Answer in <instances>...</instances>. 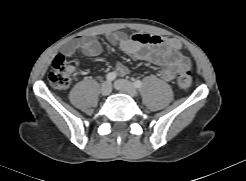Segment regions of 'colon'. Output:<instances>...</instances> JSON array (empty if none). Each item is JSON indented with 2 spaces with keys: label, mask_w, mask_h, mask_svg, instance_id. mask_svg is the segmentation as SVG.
Listing matches in <instances>:
<instances>
[{
  "label": "colon",
  "mask_w": 246,
  "mask_h": 181,
  "mask_svg": "<svg viewBox=\"0 0 246 181\" xmlns=\"http://www.w3.org/2000/svg\"><path fill=\"white\" fill-rule=\"evenodd\" d=\"M146 43H157L156 36H143L141 38ZM73 68L68 64L63 55H57L51 65L48 73V81L51 86L58 89H64L72 83ZM177 84L183 90L190 89L192 85L191 71L189 68L179 70L177 75Z\"/></svg>",
  "instance_id": "obj_1"
}]
</instances>
